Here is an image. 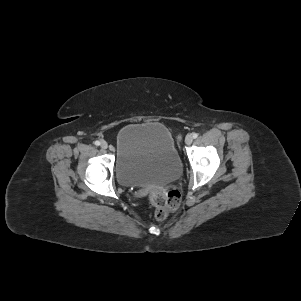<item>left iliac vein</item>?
<instances>
[{
  "instance_id": "4c4485c4",
  "label": "left iliac vein",
  "mask_w": 301,
  "mask_h": 301,
  "mask_svg": "<svg viewBox=\"0 0 301 301\" xmlns=\"http://www.w3.org/2000/svg\"><path fill=\"white\" fill-rule=\"evenodd\" d=\"M192 142H193V136H192L191 134H188V135L185 137V144H186V145H190Z\"/></svg>"
}]
</instances>
